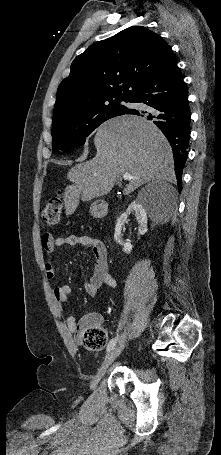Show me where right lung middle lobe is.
<instances>
[{
	"label": "right lung middle lobe",
	"instance_id": "dd1d6c3e",
	"mask_svg": "<svg viewBox=\"0 0 221 455\" xmlns=\"http://www.w3.org/2000/svg\"><path fill=\"white\" fill-rule=\"evenodd\" d=\"M122 101L130 102V98L109 99L54 122L52 124L53 150L68 152L83 145L86 137L103 122L126 113L129 108L121 105Z\"/></svg>",
	"mask_w": 221,
	"mask_h": 455
}]
</instances>
